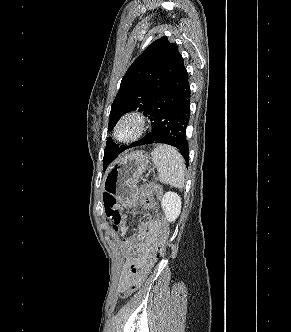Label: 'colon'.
I'll return each instance as SVG.
<instances>
[{
    "label": "colon",
    "instance_id": "colon-1",
    "mask_svg": "<svg viewBox=\"0 0 291 332\" xmlns=\"http://www.w3.org/2000/svg\"><path fill=\"white\" fill-rule=\"evenodd\" d=\"M161 193V188L153 183H146L142 185L140 187V202L142 206L145 208H152L154 204V196H159ZM104 209L106 216L113 225V228L122 233L123 215L119 210L117 200L111 194L106 193L104 195ZM168 237V226L167 223L163 221L158 242L155 244L148 260L141 267L133 270V278L124 290L125 296H129L138 290L144 283L155 263L163 258Z\"/></svg>",
    "mask_w": 291,
    "mask_h": 332
}]
</instances>
